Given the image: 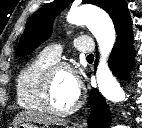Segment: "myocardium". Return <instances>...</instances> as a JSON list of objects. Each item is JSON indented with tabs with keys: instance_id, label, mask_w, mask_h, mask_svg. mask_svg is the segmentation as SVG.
<instances>
[{
	"instance_id": "myocardium-1",
	"label": "myocardium",
	"mask_w": 142,
	"mask_h": 128,
	"mask_svg": "<svg viewBox=\"0 0 142 128\" xmlns=\"http://www.w3.org/2000/svg\"><path fill=\"white\" fill-rule=\"evenodd\" d=\"M59 70H66L72 72V68L67 63H57L51 65L45 72L42 89H41V103L43 108L50 114L56 116H67L77 111L83 104V94L81 89H78V96L76 101L67 109H58L52 102V83L54 75Z\"/></svg>"
}]
</instances>
